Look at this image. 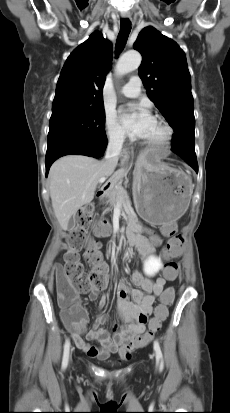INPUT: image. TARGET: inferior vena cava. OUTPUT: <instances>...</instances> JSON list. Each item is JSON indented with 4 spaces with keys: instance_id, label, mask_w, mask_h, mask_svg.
<instances>
[{
    "instance_id": "602c4592",
    "label": "inferior vena cava",
    "mask_w": 230,
    "mask_h": 413,
    "mask_svg": "<svg viewBox=\"0 0 230 413\" xmlns=\"http://www.w3.org/2000/svg\"><path fill=\"white\" fill-rule=\"evenodd\" d=\"M123 141L124 133L122 132L115 133L109 140L105 160L114 167L117 165L118 156L121 152Z\"/></svg>"
}]
</instances>
